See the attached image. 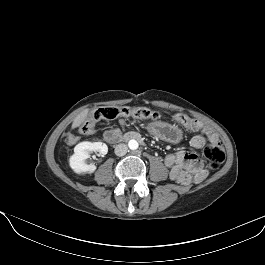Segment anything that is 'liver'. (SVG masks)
<instances>
[{"label":"liver","mask_w":265,"mask_h":265,"mask_svg":"<svg viewBox=\"0 0 265 265\" xmlns=\"http://www.w3.org/2000/svg\"><path fill=\"white\" fill-rule=\"evenodd\" d=\"M89 109H85L80 112L73 120L72 129L79 127L82 123H84L88 117Z\"/></svg>","instance_id":"liver-1"}]
</instances>
